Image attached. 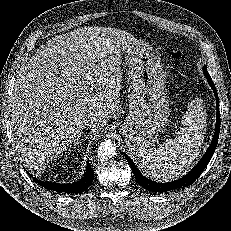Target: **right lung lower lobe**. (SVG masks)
<instances>
[{
  "mask_svg": "<svg viewBox=\"0 0 231 231\" xmlns=\"http://www.w3.org/2000/svg\"><path fill=\"white\" fill-rule=\"evenodd\" d=\"M31 176V175H30ZM32 177V176H31ZM39 185L42 187L58 191V192H66V193H80L84 190H86L92 183L94 179V173L93 169L91 168V165L89 164V161L87 162L86 171L84 172V176L81 180L72 183V184H60L55 182H48V181H41L36 178H33Z\"/></svg>",
  "mask_w": 231,
  "mask_h": 231,
  "instance_id": "98d812e1",
  "label": "right lung lower lobe"
}]
</instances>
